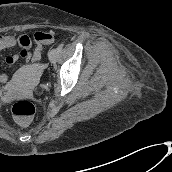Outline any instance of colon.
I'll list each match as a JSON object with an SVG mask.
<instances>
[{
    "label": "colon",
    "instance_id": "obj_1",
    "mask_svg": "<svg viewBox=\"0 0 172 172\" xmlns=\"http://www.w3.org/2000/svg\"><path fill=\"white\" fill-rule=\"evenodd\" d=\"M39 40L42 42H52L54 34L52 32H44ZM12 113L21 125H27L35 114V107L29 101H18L13 105Z\"/></svg>",
    "mask_w": 172,
    "mask_h": 172
}]
</instances>
